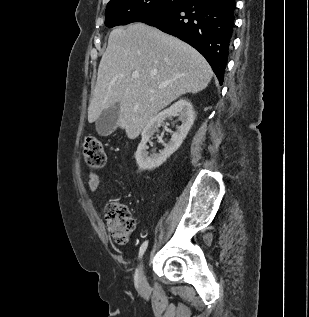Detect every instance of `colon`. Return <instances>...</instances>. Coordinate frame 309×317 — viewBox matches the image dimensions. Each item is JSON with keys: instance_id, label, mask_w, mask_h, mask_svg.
Segmentation results:
<instances>
[{"instance_id": "obj_1", "label": "colon", "mask_w": 309, "mask_h": 317, "mask_svg": "<svg viewBox=\"0 0 309 317\" xmlns=\"http://www.w3.org/2000/svg\"><path fill=\"white\" fill-rule=\"evenodd\" d=\"M83 152L89 166L101 168L105 165L106 153L99 138L93 135L86 136ZM105 224L111 238L118 243H125L135 229V220L129 208L117 201L106 205Z\"/></svg>"}]
</instances>
